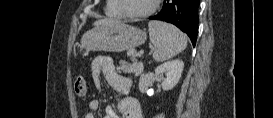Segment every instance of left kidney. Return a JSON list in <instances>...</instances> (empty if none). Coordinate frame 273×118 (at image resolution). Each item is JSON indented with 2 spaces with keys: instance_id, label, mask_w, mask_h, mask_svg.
Wrapping results in <instances>:
<instances>
[{
  "instance_id": "left-kidney-1",
  "label": "left kidney",
  "mask_w": 273,
  "mask_h": 118,
  "mask_svg": "<svg viewBox=\"0 0 273 118\" xmlns=\"http://www.w3.org/2000/svg\"><path fill=\"white\" fill-rule=\"evenodd\" d=\"M184 63L179 60L165 62L155 69V75L162 80L163 90L173 89L180 80ZM165 76V77H164Z\"/></svg>"
}]
</instances>
